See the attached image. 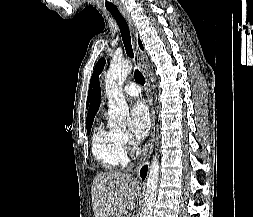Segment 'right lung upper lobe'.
Segmentation results:
<instances>
[{
    "label": "right lung upper lobe",
    "instance_id": "right-lung-upper-lobe-1",
    "mask_svg": "<svg viewBox=\"0 0 253 217\" xmlns=\"http://www.w3.org/2000/svg\"><path fill=\"white\" fill-rule=\"evenodd\" d=\"M139 46L141 49H143V46L141 44V41L139 40ZM93 84V83H92ZM89 98L87 99V102L90 103L89 105V111L87 114V123L93 122V119L95 117V114L97 113L100 105V84H99V79L94 83L93 90L89 88V93H88Z\"/></svg>",
    "mask_w": 253,
    "mask_h": 217
}]
</instances>
